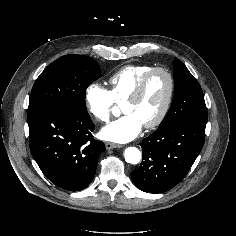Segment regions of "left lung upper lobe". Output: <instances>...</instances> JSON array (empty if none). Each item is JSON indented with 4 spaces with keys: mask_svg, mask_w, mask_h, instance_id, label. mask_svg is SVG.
<instances>
[{
    "mask_svg": "<svg viewBox=\"0 0 236 236\" xmlns=\"http://www.w3.org/2000/svg\"><path fill=\"white\" fill-rule=\"evenodd\" d=\"M174 85L171 107L158 128L179 121L206 123L208 112L202 89L186 66L177 58L174 59Z\"/></svg>",
    "mask_w": 236,
    "mask_h": 236,
    "instance_id": "left-lung-upper-lobe-1",
    "label": "left lung upper lobe"
}]
</instances>
